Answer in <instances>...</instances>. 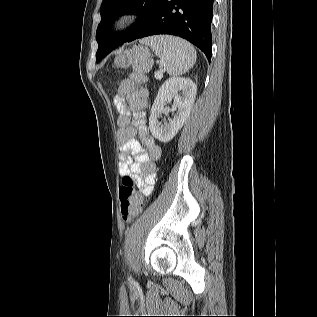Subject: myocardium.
Instances as JSON below:
<instances>
[{"label": "myocardium", "instance_id": "myocardium-1", "mask_svg": "<svg viewBox=\"0 0 317 317\" xmlns=\"http://www.w3.org/2000/svg\"><path fill=\"white\" fill-rule=\"evenodd\" d=\"M135 13L131 11H124L120 13L114 23L112 24L113 31H120L123 30L131 21L135 18Z\"/></svg>", "mask_w": 317, "mask_h": 317}]
</instances>
